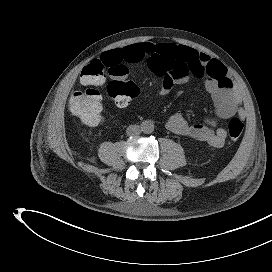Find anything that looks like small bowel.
<instances>
[{
    "label": "small bowel",
    "mask_w": 272,
    "mask_h": 272,
    "mask_svg": "<svg viewBox=\"0 0 272 272\" xmlns=\"http://www.w3.org/2000/svg\"><path fill=\"white\" fill-rule=\"evenodd\" d=\"M148 59L152 72L160 77L159 95H167L175 85L188 81L190 76L201 80L210 94L215 113L227 119L235 114L244 117L241 96L225 66L207 54L192 48L172 43H135L105 52L98 60L108 68L139 64ZM167 128L181 136L190 137L214 148L224 146L227 137L225 128L218 126L213 118L205 123H189L181 113L173 114Z\"/></svg>",
    "instance_id": "c3829d8e"
}]
</instances>
